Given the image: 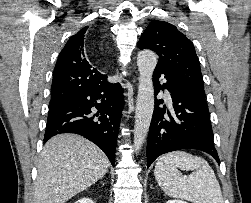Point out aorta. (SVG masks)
<instances>
[{"label": "aorta", "instance_id": "obj_1", "mask_svg": "<svg viewBox=\"0 0 251 203\" xmlns=\"http://www.w3.org/2000/svg\"><path fill=\"white\" fill-rule=\"evenodd\" d=\"M157 64V55L151 50H142L137 56L139 86L136 102L134 148L139 150L143 145L154 110V87L152 75Z\"/></svg>", "mask_w": 251, "mask_h": 203}]
</instances>
